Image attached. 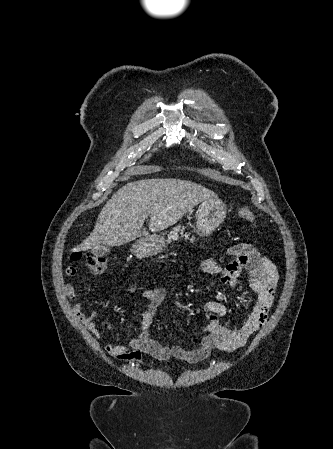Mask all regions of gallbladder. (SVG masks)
Instances as JSON below:
<instances>
[{
	"label": "gallbladder",
	"instance_id": "obj_1",
	"mask_svg": "<svg viewBox=\"0 0 333 449\" xmlns=\"http://www.w3.org/2000/svg\"><path fill=\"white\" fill-rule=\"evenodd\" d=\"M109 252L108 247L100 246L98 248H95L92 250V254L96 257H102L105 256Z\"/></svg>",
	"mask_w": 333,
	"mask_h": 449
}]
</instances>
